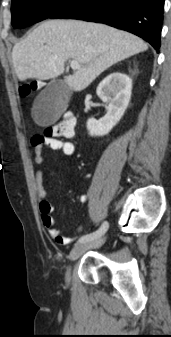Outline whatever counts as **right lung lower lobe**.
Instances as JSON below:
<instances>
[{"instance_id":"98d812e1","label":"right lung lower lobe","mask_w":171,"mask_h":337,"mask_svg":"<svg viewBox=\"0 0 171 337\" xmlns=\"http://www.w3.org/2000/svg\"><path fill=\"white\" fill-rule=\"evenodd\" d=\"M164 0H72L49 18L104 23L136 34L160 48Z\"/></svg>"}]
</instances>
